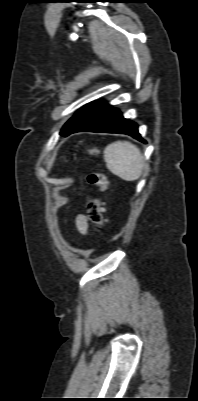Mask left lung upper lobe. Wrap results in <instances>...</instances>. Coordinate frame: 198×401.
Wrapping results in <instances>:
<instances>
[{"instance_id":"5c2ea615","label":"left lung upper lobe","mask_w":198,"mask_h":401,"mask_svg":"<svg viewBox=\"0 0 198 401\" xmlns=\"http://www.w3.org/2000/svg\"><path fill=\"white\" fill-rule=\"evenodd\" d=\"M87 106L79 110L62 128L60 134L65 133L69 127L72 125V123L78 118V116L85 110Z\"/></svg>"}]
</instances>
